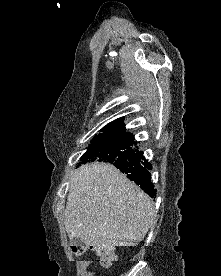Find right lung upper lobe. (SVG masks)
<instances>
[{"mask_svg": "<svg viewBox=\"0 0 221 276\" xmlns=\"http://www.w3.org/2000/svg\"><path fill=\"white\" fill-rule=\"evenodd\" d=\"M124 117L118 118L110 123H108L104 128L101 129L103 134H98L100 135H107V134H126V135H131V133H127L125 129V124L123 123Z\"/></svg>", "mask_w": 221, "mask_h": 276, "instance_id": "obj_1", "label": "right lung upper lobe"}]
</instances>
